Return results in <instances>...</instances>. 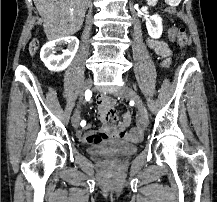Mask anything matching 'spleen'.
Instances as JSON below:
<instances>
[{
    "label": "spleen",
    "mask_w": 217,
    "mask_h": 202,
    "mask_svg": "<svg viewBox=\"0 0 217 202\" xmlns=\"http://www.w3.org/2000/svg\"><path fill=\"white\" fill-rule=\"evenodd\" d=\"M165 5H178V0H165Z\"/></svg>",
    "instance_id": "3e777b00"
}]
</instances>
